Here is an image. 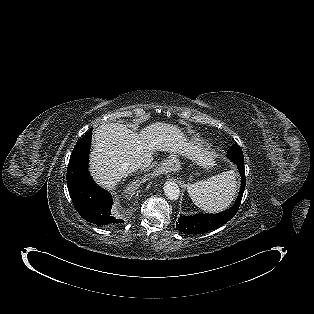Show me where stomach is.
<instances>
[{
	"label": "stomach",
	"mask_w": 314,
	"mask_h": 314,
	"mask_svg": "<svg viewBox=\"0 0 314 314\" xmlns=\"http://www.w3.org/2000/svg\"><path fill=\"white\" fill-rule=\"evenodd\" d=\"M167 167L173 170H178L180 168V162L178 160L177 154L169 155L168 159L165 161Z\"/></svg>",
	"instance_id": "1"
}]
</instances>
